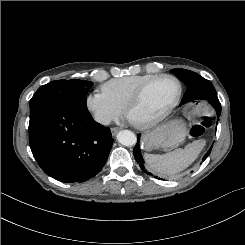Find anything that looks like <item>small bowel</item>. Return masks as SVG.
I'll return each mask as SVG.
<instances>
[{
    "mask_svg": "<svg viewBox=\"0 0 245 245\" xmlns=\"http://www.w3.org/2000/svg\"><path fill=\"white\" fill-rule=\"evenodd\" d=\"M210 108V105L205 100H194L190 101L185 106V111L190 116H195L199 114L206 113Z\"/></svg>",
    "mask_w": 245,
    "mask_h": 245,
    "instance_id": "c3829d8e",
    "label": "small bowel"
}]
</instances>
